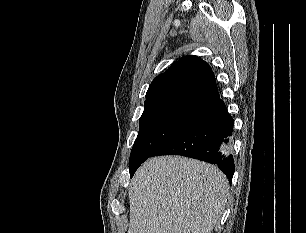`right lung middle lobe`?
<instances>
[{
	"mask_svg": "<svg viewBox=\"0 0 306 233\" xmlns=\"http://www.w3.org/2000/svg\"><path fill=\"white\" fill-rule=\"evenodd\" d=\"M203 109L200 105L180 100L160 101L145 106L130 155V173Z\"/></svg>",
	"mask_w": 306,
	"mask_h": 233,
	"instance_id": "right-lung-middle-lobe-1",
	"label": "right lung middle lobe"
}]
</instances>
